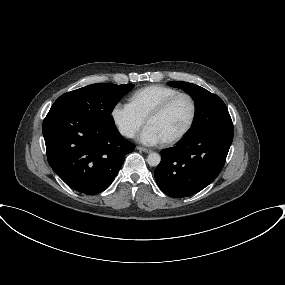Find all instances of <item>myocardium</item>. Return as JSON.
<instances>
[{
    "label": "myocardium",
    "instance_id": "1",
    "mask_svg": "<svg viewBox=\"0 0 285 285\" xmlns=\"http://www.w3.org/2000/svg\"><path fill=\"white\" fill-rule=\"evenodd\" d=\"M181 97H185L189 100L190 105H191V116H190V119H189L186 127L178 135L174 136L171 139L163 141V144L166 146H172V145L177 144L178 142L183 140L189 134V132L192 130V128L195 124V121H196V117H197V104H196L194 97L189 93L179 92V93L167 98L166 100H164L160 105H158L155 109H153L145 119L146 124H148V122L150 120L164 114L168 110V108L177 99H179Z\"/></svg>",
    "mask_w": 285,
    "mask_h": 285
}]
</instances>
